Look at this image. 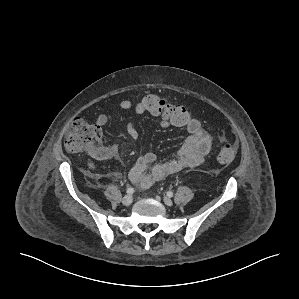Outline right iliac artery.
Wrapping results in <instances>:
<instances>
[{
  "label": "right iliac artery",
  "instance_id": "right-iliac-artery-1",
  "mask_svg": "<svg viewBox=\"0 0 299 299\" xmlns=\"http://www.w3.org/2000/svg\"><path fill=\"white\" fill-rule=\"evenodd\" d=\"M128 194H133L134 193V188L129 187L126 191Z\"/></svg>",
  "mask_w": 299,
  "mask_h": 299
}]
</instances>
